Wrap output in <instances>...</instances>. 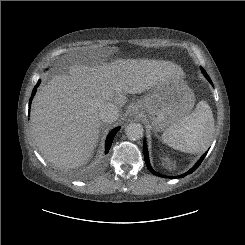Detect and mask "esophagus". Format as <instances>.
Returning <instances> with one entry per match:
<instances>
[{
	"label": "esophagus",
	"mask_w": 245,
	"mask_h": 245,
	"mask_svg": "<svg viewBox=\"0 0 245 245\" xmlns=\"http://www.w3.org/2000/svg\"><path fill=\"white\" fill-rule=\"evenodd\" d=\"M139 113V107L137 105H134L131 109V116H137Z\"/></svg>",
	"instance_id": "obj_1"
}]
</instances>
